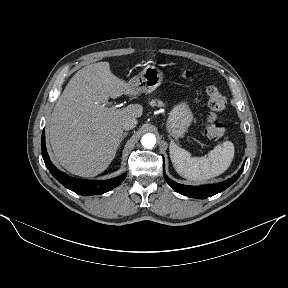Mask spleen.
I'll use <instances>...</instances> for the list:
<instances>
[{"mask_svg": "<svg viewBox=\"0 0 288 288\" xmlns=\"http://www.w3.org/2000/svg\"><path fill=\"white\" fill-rule=\"evenodd\" d=\"M234 157V145L225 141L205 157H191L176 143H170V158L177 173L191 181H205L224 173Z\"/></svg>", "mask_w": 288, "mask_h": 288, "instance_id": "spleen-1", "label": "spleen"}]
</instances>
